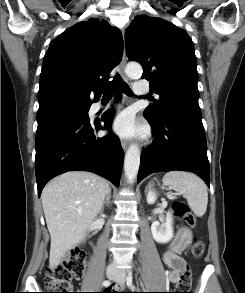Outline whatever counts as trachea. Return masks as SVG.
<instances>
[{"label":"trachea","instance_id":"1","mask_svg":"<svg viewBox=\"0 0 245 293\" xmlns=\"http://www.w3.org/2000/svg\"><path fill=\"white\" fill-rule=\"evenodd\" d=\"M117 83L118 84L120 83L122 91L127 96H132L133 95V92H132L131 88L128 86V84L123 82L121 77L117 74L116 75V80L113 82V84L111 86H106L105 88L101 89V91L103 93V98L111 99L113 97L114 91H115V86H116Z\"/></svg>","mask_w":245,"mask_h":293}]
</instances>
